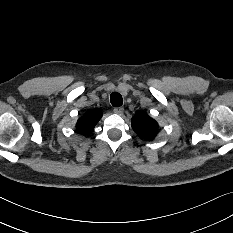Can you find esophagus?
I'll list each match as a JSON object with an SVG mask.
<instances>
[{
	"label": "esophagus",
	"instance_id": "esophagus-1",
	"mask_svg": "<svg viewBox=\"0 0 233 233\" xmlns=\"http://www.w3.org/2000/svg\"><path fill=\"white\" fill-rule=\"evenodd\" d=\"M123 112H124L123 107H115L114 108V113H116V114H122Z\"/></svg>",
	"mask_w": 233,
	"mask_h": 233
}]
</instances>
